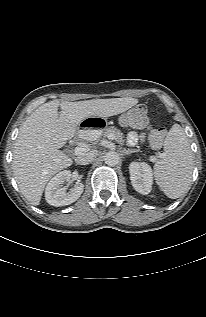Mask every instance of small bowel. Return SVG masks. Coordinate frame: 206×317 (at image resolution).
Instances as JSON below:
<instances>
[{"mask_svg":"<svg viewBox=\"0 0 206 317\" xmlns=\"http://www.w3.org/2000/svg\"><path fill=\"white\" fill-rule=\"evenodd\" d=\"M145 137V134H138L137 132H130L127 136V142L130 145L136 144L139 140H143Z\"/></svg>","mask_w":206,"mask_h":317,"instance_id":"1","label":"small bowel"}]
</instances>
